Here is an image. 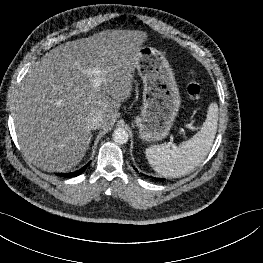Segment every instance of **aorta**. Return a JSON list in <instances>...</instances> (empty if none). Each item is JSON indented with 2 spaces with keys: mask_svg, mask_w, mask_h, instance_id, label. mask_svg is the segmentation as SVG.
<instances>
[{
  "mask_svg": "<svg viewBox=\"0 0 263 263\" xmlns=\"http://www.w3.org/2000/svg\"><path fill=\"white\" fill-rule=\"evenodd\" d=\"M128 137H129L128 132L123 128H117L113 132V140L117 144H125L128 141Z\"/></svg>",
  "mask_w": 263,
  "mask_h": 263,
  "instance_id": "1",
  "label": "aorta"
}]
</instances>
